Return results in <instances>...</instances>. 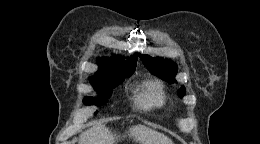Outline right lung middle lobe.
I'll use <instances>...</instances> for the list:
<instances>
[{
    "label": "right lung middle lobe",
    "instance_id": "obj_1",
    "mask_svg": "<svg viewBox=\"0 0 260 144\" xmlns=\"http://www.w3.org/2000/svg\"><path fill=\"white\" fill-rule=\"evenodd\" d=\"M134 71H130L123 74H113L103 77H91L90 82L93 88L99 93L101 98L85 97L83 103L85 105H97L105 104L107 99L111 96L112 89L120 84L124 78L131 76Z\"/></svg>",
    "mask_w": 260,
    "mask_h": 144
}]
</instances>
